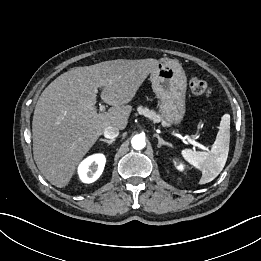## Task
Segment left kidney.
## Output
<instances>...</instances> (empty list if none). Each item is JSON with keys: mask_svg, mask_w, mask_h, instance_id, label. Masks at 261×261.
Wrapping results in <instances>:
<instances>
[{"mask_svg": "<svg viewBox=\"0 0 261 261\" xmlns=\"http://www.w3.org/2000/svg\"><path fill=\"white\" fill-rule=\"evenodd\" d=\"M177 169H178V170H183V169H184V167H183V165H182V164H179V165H177Z\"/></svg>", "mask_w": 261, "mask_h": 261, "instance_id": "5707ae66", "label": "left kidney"}]
</instances>
